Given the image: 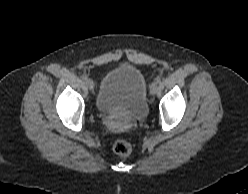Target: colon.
<instances>
[{
    "label": "colon",
    "instance_id": "colon-1",
    "mask_svg": "<svg viewBox=\"0 0 248 194\" xmlns=\"http://www.w3.org/2000/svg\"><path fill=\"white\" fill-rule=\"evenodd\" d=\"M113 150L119 156H128L132 152V145L124 139H118L113 145Z\"/></svg>",
    "mask_w": 248,
    "mask_h": 194
}]
</instances>
